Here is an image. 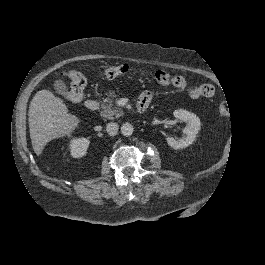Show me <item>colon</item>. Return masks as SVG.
Returning <instances> with one entry per match:
<instances>
[{"label":"colon","mask_w":265,"mask_h":265,"mask_svg":"<svg viewBox=\"0 0 265 265\" xmlns=\"http://www.w3.org/2000/svg\"><path fill=\"white\" fill-rule=\"evenodd\" d=\"M129 71L127 64H120L115 66H110L104 69L103 74L107 78H114L119 75L125 74ZM63 76L71 81L70 89L64 93V97L72 102H77L81 99L83 90L86 85V79L78 71L70 70L65 71ZM152 78L160 85H167L171 81V75L164 70H156L151 73ZM228 105L220 104L218 106V113L220 115H226L228 113Z\"/></svg>","instance_id":"obj_1"}]
</instances>
